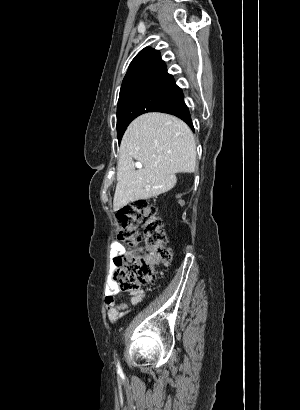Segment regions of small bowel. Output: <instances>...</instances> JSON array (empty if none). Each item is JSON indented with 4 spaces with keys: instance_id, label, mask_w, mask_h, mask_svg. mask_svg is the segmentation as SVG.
Returning a JSON list of instances; mask_svg holds the SVG:
<instances>
[{
    "instance_id": "small-bowel-1",
    "label": "small bowel",
    "mask_w": 300,
    "mask_h": 410,
    "mask_svg": "<svg viewBox=\"0 0 300 410\" xmlns=\"http://www.w3.org/2000/svg\"><path fill=\"white\" fill-rule=\"evenodd\" d=\"M133 253L127 251L125 246L121 243L114 242L111 245V256L117 257L120 254ZM116 259V258H115ZM111 269L116 267L115 260L111 264ZM126 296L125 293L117 290L112 282H108L106 286L105 306L108 319L111 323L117 322L123 318L130 311V305H136L140 303L145 297V291L143 289H136L129 293V300L127 302L121 301Z\"/></svg>"
}]
</instances>
